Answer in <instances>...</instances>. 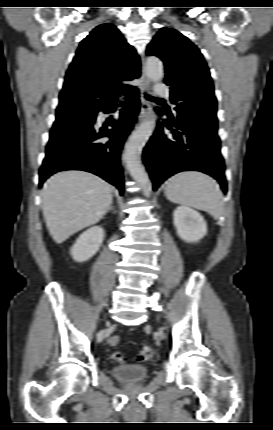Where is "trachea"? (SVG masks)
I'll return each mask as SVG.
<instances>
[{"label": "trachea", "mask_w": 273, "mask_h": 430, "mask_svg": "<svg viewBox=\"0 0 273 430\" xmlns=\"http://www.w3.org/2000/svg\"><path fill=\"white\" fill-rule=\"evenodd\" d=\"M145 97H146L147 99H154L153 97L148 96V95H146Z\"/></svg>", "instance_id": "obj_1"}]
</instances>
